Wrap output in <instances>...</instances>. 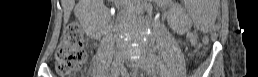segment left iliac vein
Segmentation results:
<instances>
[{
    "instance_id": "left-iliac-vein-1",
    "label": "left iliac vein",
    "mask_w": 258,
    "mask_h": 77,
    "mask_svg": "<svg viewBox=\"0 0 258 77\" xmlns=\"http://www.w3.org/2000/svg\"><path fill=\"white\" fill-rule=\"evenodd\" d=\"M136 64L148 74L156 73L154 61L149 57L142 56L139 60L136 61Z\"/></svg>"
}]
</instances>
